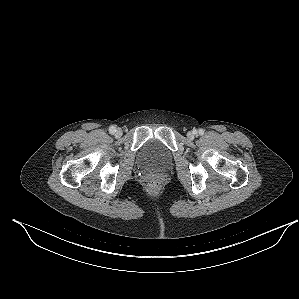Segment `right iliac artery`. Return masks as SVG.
Instances as JSON below:
<instances>
[{
	"label": "right iliac artery",
	"instance_id": "right-iliac-artery-1",
	"mask_svg": "<svg viewBox=\"0 0 299 299\" xmlns=\"http://www.w3.org/2000/svg\"><path fill=\"white\" fill-rule=\"evenodd\" d=\"M115 131H116V128H115L114 126L109 127V132H110L111 134H114Z\"/></svg>",
	"mask_w": 299,
	"mask_h": 299
}]
</instances>
